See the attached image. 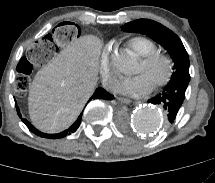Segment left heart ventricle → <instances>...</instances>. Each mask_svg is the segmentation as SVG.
Here are the masks:
<instances>
[{
  "label": "left heart ventricle",
  "mask_w": 215,
  "mask_h": 183,
  "mask_svg": "<svg viewBox=\"0 0 215 183\" xmlns=\"http://www.w3.org/2000/svg\"><path fill=\"white\" fill-rule=\"evenodd\" d=\"M135 73L145 74L149 78L151 83L154 84L164 75L165 65L162 62H156L152 65L146 66L140 61Z\"/></svg>",
  "instance_id": "obj_1"
}]
</instances>
